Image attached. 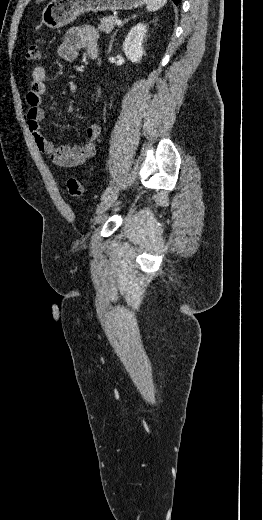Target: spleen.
I'll return each mask as SVG.
<instances>
[{
	"mask_svg": "<svg viewBox=\"0 0 263 520\" xmlns=\"http://www.w3.org/2000/svg\"><path fill=\"white\" fill-rule=\"evenodd\" d=\"M167 0H147V11H157L166 4Z\"/></svg>",
	"mask_w": 263,
	"mask_h": 520,
	"instance_id": "obj_1",
	"label": "spleen"
}]
</instances>
